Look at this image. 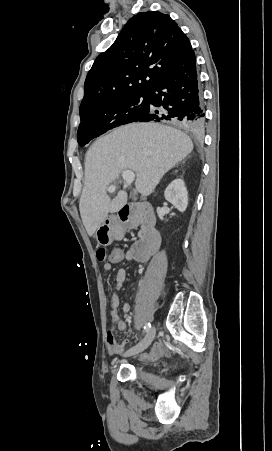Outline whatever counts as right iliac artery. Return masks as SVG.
Listing matches in <instances>:
<instances>
[{"label": "right iliac artery", "instance_id": "right-iliac-artery-1", "mask_svg": "<svg viewBox=\"0 0 272 451\" xmlns=\"http://www.w3.org/2000/svg\"><path fill=\"white\" fill-rule=\"evenodd\" d=\"M151 328V324L148 322L145 326H144V331L148 332Z\"/></svg>", "mask_w": 272, "mask_h": 451}]
</instances>
